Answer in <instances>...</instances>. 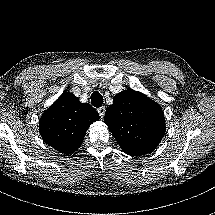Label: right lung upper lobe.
Returning <instances> with one entry per match:
<instances>
[{
  "mask_svg": "<svg viewBox=\"0 0 215 215\" xmlns=\"http://www.w3.org/2000/svg\"><path fill=\"white\" fill-rule=\"evenodd\" d=\"M98 119L90 104L65 92L42 114L39 130L45 143L69 155L81 146L89 126Z\"/></svg>",
  "mask_w": 215,
  "mask_h": 215,
  "instance_id": "right-lung-upper-lobe-1",
  "label": "right lung upper lobe"
}]
</instances>
